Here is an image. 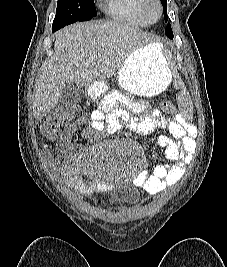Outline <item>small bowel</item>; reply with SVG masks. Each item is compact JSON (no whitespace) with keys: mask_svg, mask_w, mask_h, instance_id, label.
I'll return each mask as SVG.
<instances>
[{"mask_svg":"<svg viewBox=\"0 0 227 267\" xmlns=\"http://www.w3.org/2000/svg\"><path fill=\"white\" fill-rule=\"evenodd\" d=\"M125 104L128 109L119 108ZM131 113L139 115L132 116ZM123 121L128 128L142 134L150 135L161 129H166L169 136L157 138V145L164 150L165 162L156 167L153 174L139 172L135 183L149 193H158L175 186L185 173L184 165L193 159L196 142L193 139L189 125L182 116H170L161 109H148L143 103L127 102L118 92H112L104 97L97 109L89 117H81L65 129L58 144V155L47 153V160L59 169L64 182L81 194L101 191L105 184L86 179L88 166L83 152L71 151V139L81 130L84 139L95 141L101 134H110L121 127Z\"/></svg>","mask_w":227,"mask_h":267,"instance_id":"obj_1","label":"small bowel"}]
</instances>
